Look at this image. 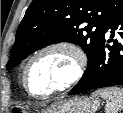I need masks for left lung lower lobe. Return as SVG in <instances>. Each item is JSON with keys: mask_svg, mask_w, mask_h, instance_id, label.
Returning <instances> with one entry per match:
<instances>
[{"mask_svg": "<svg viewBox=\"0 0 123 113\" xmlns=\"http://www.w3.org/2000/svg\"><path fill=\"white\" fill-rule=\"evenodd\" d=\"M108 30H111L110 36ZM117 30L119 40L113 39ZM123 84V0H111L107 9L104 38L79 83L69 95Z\"/></svg>", "mask_w": 123, "mask_h": 113, "instance_id": "1", "label": "left lung lower lobe"}]
</instances>
